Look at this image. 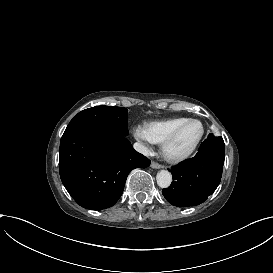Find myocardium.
Masks as SVG:
<instances>
[{
	"mask_svg": "<svg viewBox=\"0 0 273 273\" xmlns=\"http://www.w3.org/2000/svg\"><path fill=\"white\" fill-rule=\"evenodd\" d=\"M193 121H198L202 124V127H203L202 134L200 135V137L197 139V141L194 143V145L188 151H186L184 153L173 152L172 147L175 144L176 140L178 139L181 131L183 130V128L187 124H189L190 122H193ZM206 133H207V125L200 118L192 117V118H189L186 121L182 122L171 132V134L162 143V151H163L165 158L168 161L173 162V163H182V162L189 160L194 155V153L197 151V149L199 148L200 144L202 143V141L204 140V138L206 136Z\"/></svg>",
	"mask_w": 273,
	"mask_h": 273,
	"instance_id": "1",
	"label": "myocardium"
}]
</instances>
